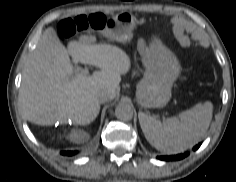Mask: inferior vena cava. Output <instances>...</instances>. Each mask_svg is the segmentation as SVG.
<instances>
[{
    "instance_id": "602c4592",
    "label": "inferior vena cava",
    "mask_w": 236,
    "mask_h": 182,
    "mask_svg": "<svg viewBox=\"0 0 236 182\" xmlns=\"http://www.w3.org/2000/svg\"><path fill=\"white\" fill-rule=\"evenodd\" d=\"M97 98H98V101L100 103H104L108 100H111L112 98V94L110 91L108 90H102V91H99L98 94H97Z\"/></svg>"
}]
</instances>
